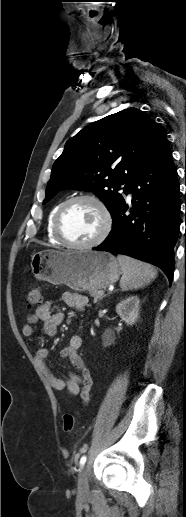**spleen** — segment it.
Returning <instances> with one entry per match:
<instances>
[{
	"instance_id": "1",
	"label": "spleen",
	"mask_w": 186,
	"mask_h": 517,
	"mask_svg": "<svg viewBox=\"0 0 186 517\" xmlns=\"http://www.w3.org/2000/svg\"><path fill=\"white\" fill-rule=\"evenodd\" d=\"M117 259L123 273L120 280L123 291L142 288L157 276V270L150 264L124 255H118Z\"/></svg>"
}]
</instances>
